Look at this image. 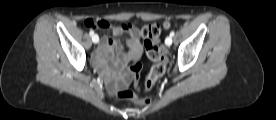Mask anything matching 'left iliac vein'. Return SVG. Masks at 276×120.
Masks as SVG:
<instances>
[{"instance_id": "obj_1", "label": "left iliac vein", "mask_w": 276, "mask_h": 120, "mask_svg": "<svg viewBox=\"0 0 276 120\" xmlns=\"http://www.w3.org/2000/svg\"><path fill=\"white\" fill-rule=\"evenodd\" d=\"M165 43L167 46H170L172 44V37L171 36H168L166 39H165Z\"/></svg>"}]
</instances>
